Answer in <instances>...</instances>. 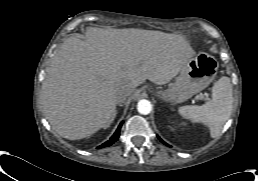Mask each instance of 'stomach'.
<instances>
[{
	"instance_id": "0dacf381",
	"label": "stomach",
	"mask_w": 258,
	"mask_h": 181,
	"mask_svg": "<svg viewBox=\"0 0 258 181\" xmlns=\"http://www.w3.org/2000/svg\"><path fill=\"white\" fill-rule=\"evenodd\" d=\"M217 69V60L208 53L200 52L187 61L167 89L160 88L155 95L167 102H184L205 89L213 81Z\"/></svg>"
}]
</instances>
